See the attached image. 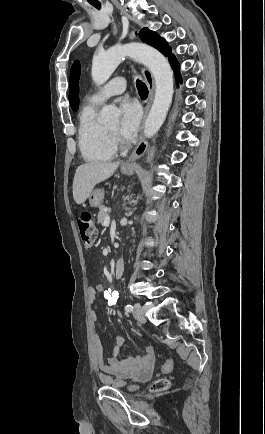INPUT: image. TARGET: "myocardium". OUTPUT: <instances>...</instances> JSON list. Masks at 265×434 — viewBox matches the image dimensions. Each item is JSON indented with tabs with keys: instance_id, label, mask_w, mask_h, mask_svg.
I'll return each mask as SVG.
<instances>
[{
	"instance_id": "f54148a6",
	"label": "myocardium",
	"mask_w": 265,
	"mask_h": 434,
	"mask_svg": "<svg viewBox=\"0 0 265 434\" xmlns=\"http://www.w3.org/2000/svg\"><path fill=\"white\" fill-rule=\"evenodd\" d=\"M109 131H110V132H112V133H115V131H114V130H111V129H109Z\"/></svg>"
}]
</instances>
